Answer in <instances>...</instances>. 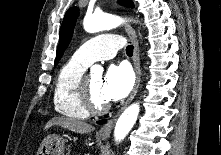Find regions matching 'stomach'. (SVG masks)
Segmentation results:
<instances>
[{
	"instance_id": "obj_1",
	"label": "stomach",
	"mask_w": 221,
	"mask_h": 155,
	"mask_svg": "<svg viewBox=\"0 0 221 155\" xmlns=\"http://www.w3.org/2000/svg\"><path fill=\"white\" fill-rule=\"evenodd\" d=\"M104 140L105 137H97ZM65 140L59 135H49L42 141L37 155H64Z\"/></svg>"
}]
</instances>
